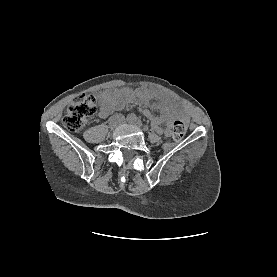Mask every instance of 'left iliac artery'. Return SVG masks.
Here are the masks:
<instances>
[{
	"mask_svg": "<svg viewBox=\"0 0 277 277\" xmlns=\"http://www.w3.org/2000/svg\"><path fill=\"white\" fill-rule=\"evenodd\" d=\"M134 123L137 125V126H139V127H141L143 124H142V122H141V120L140 119H135L134 120Z\"/></svg>",
	"mask_w": 277,
	"mask_h": 277,
	"instance_id": "44dca946",
	"label": "left iliac artery"
}]
</instances>
